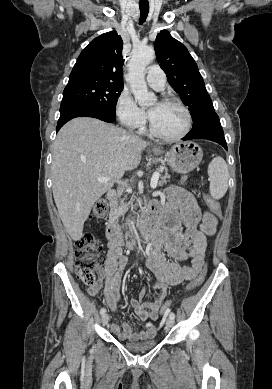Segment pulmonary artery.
I'll list each match as a JSON object with an SVG mask.
<instances>
[{
    "label": "pulmonary artery",
    "instance_id": "1",
    "mask_svg": "<svg viewBox=\"0 0 272 389\" xmlns=\"http://www.w3.org/2000/svg\"><path fill=\"white\" fill-rule=\"evenodd\" d=\"M146 80L155 90H162L166 83V75L160 66L154 64L147 68Z\"/></svg>",
    "mask_w": 272,
    "mask_h": 389
}]
</instances>
